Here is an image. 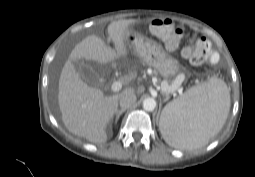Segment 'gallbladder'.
<instances>
[{
  "instance_id": "gallbladder-1",
  "label": "gallbladder",
  "mask_w": 255,
  "mask_h": 177,
  "mask_svg": "<svg viewBox=\"0 0 255 177\" xmlns=\"http://www.w3.org/2000/svg\"><path fill=\"white\" fill-rule=\"evenodd\" d=\"M75 65L85 82L93 86L99 84V76L94 72L90 65L85 64L83 61H76Z\"/></svg>"
}]
</instances>
